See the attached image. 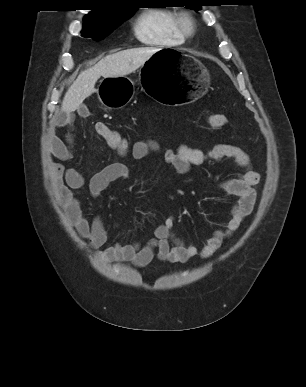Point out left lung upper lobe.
I'll list each match as a JSON object with an SVG mask.
<instances>
[{
	"instance_id": "obj_1",
	"label": "left lung upper lobe",
	"mask_w": 306,
	"mask_h": 387,
	"mask_svg": "<svg viewBox=\"0 0 306 387\" xmlns=\"http://www.w3.org/2000/svg\"><path fill=\"white\" fill-rule=\"evenodd\" d=\"M187 7L190 8V9H195V10H200V9H201V7H200L199 4H197V5H192V6H187Z\"/></svg>"
}]
</instances>
